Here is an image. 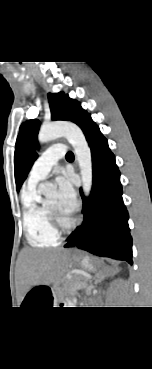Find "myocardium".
Wrapping results in <instances>:
<instances>
[{"label": "myocardium", "mask_w": 152, "mask_h": 369, "mask_svg": "<svg viewBox=\"0 0 152 369\" xmlns=\"http://www.w3.org/2000/svg\"><path fill=\"white\" fill-rule=\"evenodd\" d=\"M45 207L47 209V212H48V215H49V219H50V222H51L53 228L59 234L68 233V232H70L74 228V226L76 224V220L74 218H72L70 220V222L64 223L62 221V219L60 218V216L58 215V213L55 210H53L46 203H45Z\"/></svg>", "instance_id": "myocardium-1"}]
</instances>
